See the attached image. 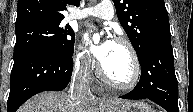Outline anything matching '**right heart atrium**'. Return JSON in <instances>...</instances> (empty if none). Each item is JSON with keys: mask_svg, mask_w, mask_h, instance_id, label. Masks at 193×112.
I'll list each match as a JSON object with an SVG mask.
<instances>
[{"mask_svg": "<svg viewBox=\"0 0 193 112\" xmlns=\"http://www.w3.org/2000/svg\"><path fill=\"white\" fill-rule=\"evenodd\" d=\"M93 64L84 49L79 47L74 55V68L81 74L88 75L92 70Z\"/></svg>", "mask_w": 193, "mask_h": 112, "instance_id": "obj_1", "label": "right heart atrium"}]
</instances>
